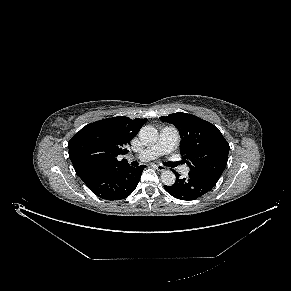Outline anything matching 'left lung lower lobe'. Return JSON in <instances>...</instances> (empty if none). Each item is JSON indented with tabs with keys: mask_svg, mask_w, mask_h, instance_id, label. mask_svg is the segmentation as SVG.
I'll return each instance as SVG.
<instances>
[{
	"mask_svg": "<svg viewBox=\"0 0 291 291\" xmlns=\"http://www.w3.org/2000/svg\"><path fill=\"white\" fill-rule=\"evenodd\" d=\"M176 173V182L164 189L180 200H195L209 192L217 183L221 174L215 172H190L188 178L181 179Z\"/></svg>",
	"mask_w": 291,
	"mask_h": 291,
	"instance_id": "0a47b994",
	"label": "left lung lower lobe"
}]
</instances>
